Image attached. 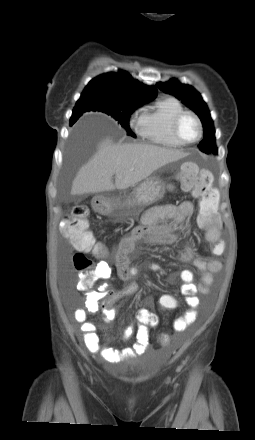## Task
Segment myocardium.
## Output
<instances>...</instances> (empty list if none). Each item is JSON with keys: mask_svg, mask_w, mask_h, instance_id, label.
Listing matches in <instances>:
<instances>
[{"mask_svg": "<svg viewBox=\"0 0 255 440\" xmlns=\"http://www.w3.org/2000/svg\"><path fill=\"white\" fill-rule=\"evenodd\" d=\"M186 116L192 117L195 120V122H196V124L198 126V135L192 141L185 140L181 136V134L179 132V127H180L181 121ZM172 132H173V135H174L175 139L180 144H182L183 146H185V145H192V144H195L196 142H198L202 138V136H203V124H202V121H201L200 117L195 112H193L191 110H183L179 114H177V116L174 118L173 123H172Z\"/></svg>", "mask_w": 255, "mask_h": 440, "instance_id": "myocardium-1", "label": "myocardium"}]
</instances>
